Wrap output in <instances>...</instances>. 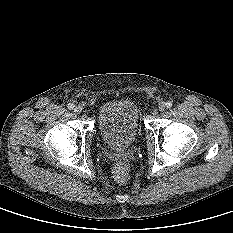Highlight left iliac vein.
Segmentation results:
<instances>
[{
    "label": "left iliac vein",
    "mask_w": 233,
    "mask_h": 233,
    "mask_svg": "<svg viewBox=\"0 0 233 233\" xmlns=\"http://www.w3.org/2000/svg\"><path fill=\"white\" fill-rule=\"evenodd\" d=\"M165 107H166V104L164 102H160L159 105H158V108H159L160 111H164Z\"/></svg>",
    "instance_id": "4c4485c4"
}]
</instances>
